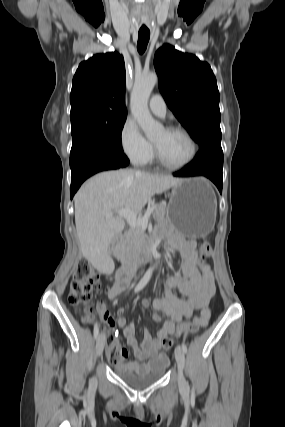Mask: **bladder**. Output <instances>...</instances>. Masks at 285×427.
I'll use <instances>...</instances> for the list:
<instances>
[{
    "label": "bladder",
    "instance_id": "1",
    "mask_svg": "<svg viewBox=\"0 0 285 427\" xmlns=\"http://www.w3.org/2000/svg\"><path fill=\"white\" fill-rule=\"evenodd\" d=\"M166 365L154 368L146 372H131L124 368L116 369L117 375L130 387L144 389L157 382L165 373Z\"/></svg>",
    "mask_w": 285,
    "mask_h": 427
}]
</instances>
